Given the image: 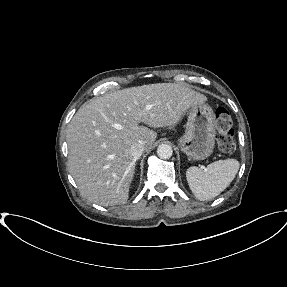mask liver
Wrapping results in <instances>:
<instances>
[{"label":"liver","mask_w":287,"mask_h":287,"mask_svg":"<svg viewBox=\"0 0 287 287\" xmlns=\"http://www.w3.org/2000/svg\"><path fill=\"white\" fill-rule=\"evenodd\" d=\"M206 97L183 83L126 88L83 104L68 124L69 171L81 195L101 206L124 204L135 172L132 145L150 150L157 133L173 127Z\"/></svg>","instance_id":"1"}]
</instances>
